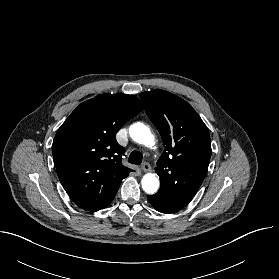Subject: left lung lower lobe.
<instances>
[{
    "instance_id": "1",
    "label": "left lung lower lobe",
    "mask_w": 279,
    "mask_h": 279,
    "mask_svg": "<svg viewBox=\"0 0 279 279\" xmlns=\"http://www.w3.org/2000/svg\"><path fill=\"white\" fill-rule=\"evenodd\" d=\"M147 198L152 206L162 213H175L192 200V198L169 195L159 191L155 195H148Z\"/></svg>"
}]
</instances>
